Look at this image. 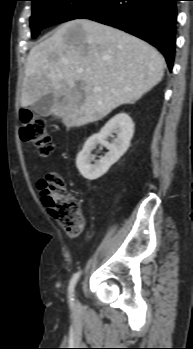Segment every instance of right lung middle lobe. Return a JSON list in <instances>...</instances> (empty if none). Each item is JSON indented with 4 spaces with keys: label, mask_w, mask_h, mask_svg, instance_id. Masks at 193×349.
<instances>
[{
    "label": "right lung middle lobe",
    "mask_w": 193,
    "mask_h": 349,
    "mask_svg": "<svg viewBox=\"0 0 193 349\" xmlns=\"http://www.w3.org/2000/svg\"><path fill=\"white\" fill-rule=\"evenodd\" d=\"M33 13L30 18L32 37L41 29L77 19L99 0H31Z\"/></svg>",
    "instance_id": "obj_1"
}]
</instances>
